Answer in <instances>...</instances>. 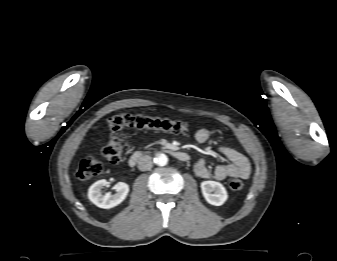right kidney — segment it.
Wrapping results in <instances>:
<instances>
[{
	"label": "right kidney",
	"instance_id": "1",
	"mask_svg": "<svg viewBox=\"0 0 337 261\" xmlns=\"http://www.w3.org/2000/svg\"><path fill=\"white\" fill-rule=\"evenodd\" d=\"M108 182L105 179L99 180L90 186L88 190V198L96 206L104 209H109L117 206L126 198L129 192V186L126 183L119 182L116 184V193L110 192L105 195L101 194V189L106 186Z\"/></svg>",
	"mask_w": 337,
	"mask_h": 261
}]
</instances>
